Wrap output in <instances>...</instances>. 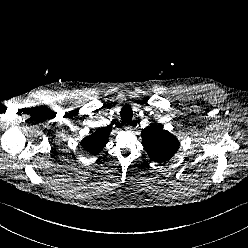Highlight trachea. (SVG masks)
I'll return each mask as SVG.
<instances>
[{"label": "trachea", "instance_id": "trachea-1", "mask_svg": "<svg viewBox=\"0 0 248 248\" xmlns=\"http://www.w3.org/2000/svg\"><path fill=\"white\" fill-rule=\"evenodd\" d=\"M121 119L125 123H129L133 117V111L130 105H124L120 112Z\"/></svg>", "mask_w": 248, "mask_h": 248}]
</instances>
